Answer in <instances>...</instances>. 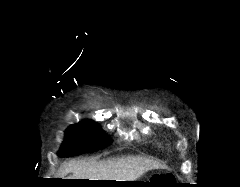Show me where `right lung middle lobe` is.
I'll return each instance as SVG.
<instances>
[{
	"label": "right lung middle lobe",
	"mask_w": 240,
	"mask_h": 187,
	"mask_svg": "<svg viewBox=\"0 0 240 187\" xmlns=\"http://www.w3.org/2000/svg\"><path fill=\"white\" fill-rule=\"evenodd\" d=\"M109 144L100 127L91 122L83 121L74 124L66 131V139L59 151L60 156L71 157L83 153L95 152Z\"/></svg>",
	"instance_id": "dd1d6c3e"
}]
</instances>
